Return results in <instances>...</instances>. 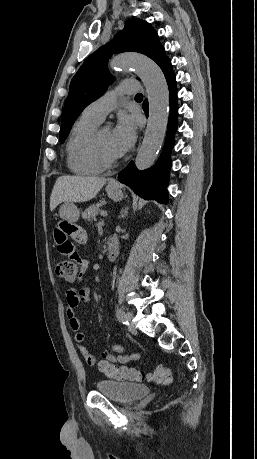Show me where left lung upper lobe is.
<instances>
[{
	"mask_svg": "<svg viewBox=\"0 0 257 459\" xmlns=\"http://www.w3.org/2000/svg\"><path fill=\"white\" fill-rule=\"evenodd\" d=\"M134 51L142 53L157 64L165 56L164 47L153 27L146 21L135 18L129 20L122 31L105 46L91 54L72 78L68 97L65 101L60 143H63L69 131L86 106L98 99L112 82L107 69V61L113 53Z\"/></svg>",
	"mask_w": 257,
	"mask_h": 459,
	"instance_id": "obj_1",
	"label": "left lung upper lobe"
}]
</instances>
